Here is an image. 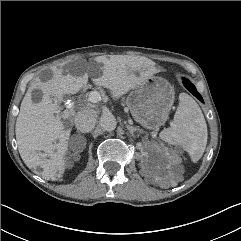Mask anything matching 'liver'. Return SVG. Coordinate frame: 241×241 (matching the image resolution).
Listing matches in <instances>:
<instances>
[{
    "mask_svg": "<svg viewBox=\"0 0 241 241\" xmlns=\"http://www.w3.org/2000/svg\"><path fill=\"white\" fill-rule=\"evenodd\" d=\"M99 65L102 74L92 81L109 89L115 99L157 72L151 60L129 56H97L86 69ZM63 72L62 67L54 68L51 80L41 82L37 78L31 83L21 102L15 127L18 150L24 163L44 179L53 181L61 178L65 171L64 155L70 135V130L65 129L61 119L54 115L59 111L58 100L54 97L75 94L88 83L87 72L80 76L70 73L64 75ZM135 72H139V75ZM34 90L42 92V99L38 103L32 101ZM45 156L49 159H44ZM38 167L42 171L37 170ZM55 170L60 173L56 175Z\"/></svg>",
    "mask_w": 241,
    "mask_h": 241,
    "instance_id": "obj_1",
    "label": "liver"
}]
</instances>
